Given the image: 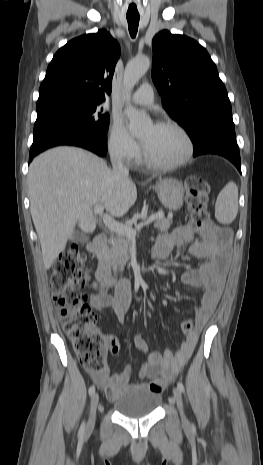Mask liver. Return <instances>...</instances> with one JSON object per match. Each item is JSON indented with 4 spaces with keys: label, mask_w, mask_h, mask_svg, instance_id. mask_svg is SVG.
Masks as SVG:
<instances>
[{
    "label": "liver",
    "mask_w": 263,
    "mask_h": 465,
    "mask_svg": "<svg viewBox=\"0 0 263 465\" xmlns=\"http://www.w3.org/2000/svg\"><path fill=\"white\" fill-rule=\"evenodd\" d=\"M28 188L45 269L64 251L76 225L85 233L95 230L93 206L102 204L120 217L137 198L130 178L116 176L93 153L68 146L50 149L32 161Z\"/></svg>",
    "instance_id": "6515ba94"
}]
</instances>
